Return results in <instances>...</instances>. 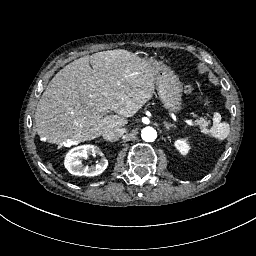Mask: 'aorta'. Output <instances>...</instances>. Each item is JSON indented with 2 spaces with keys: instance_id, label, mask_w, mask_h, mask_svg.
<instances>
[{
  "instance_id": "obj_1",
  "label": "aorta",
  "mask_w": 256,
  "mask_h": 256,
  "mask_svg": "<svg viewBox=\"0 0 256 256\" xmlns=\"http://www.w3.org/2000/svg\"><path fill=\"white\" fill-rule=\"evenodd\" d=\"M141 137L146 142H153L157 138V132L153 127H145L141 130Z\"/></svg>"
}]
</instances>
